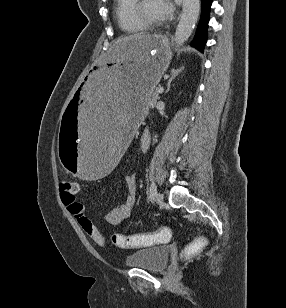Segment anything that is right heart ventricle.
Returning a JSON list of instances; mask_svg holds the SVG:
<instances>
[{"instance_id": "right-heart-ventricle-1", "label": "right heart ventricle", "mask_w": 286, "mask_h": 308, "mask_svg": "<svg viewBox=\"0 0 286 308\" xmlns=\"http://www.w3.org/2000/svg\"><path fill=\"white\" fill-rule=\"evenodd\" d=\"M115 16L119 28L127 34H134L145 31L133 14V6L137 0H115Z\"/></svg>"}]
</instances>
